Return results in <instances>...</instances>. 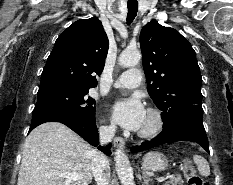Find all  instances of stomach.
I'll use <instances>...</instances> for the list:
<instances>
[{
  "mask_svg": "<svg viewBox=\"0 0 233 185\" xmlns=\"http://www.w3.org/2000/svg\"><path fill=\"white\" fill-rule=\"evenodd\" d=\"M142 167L147 171H162L168 167V160L162 153L150 151L144 155Z\"/></svg>",
  "mask_w": 233,
  "mask_h": 185,
  "instance_id": "stomach-1",
  "label": "stomach"
}]
</instances>
